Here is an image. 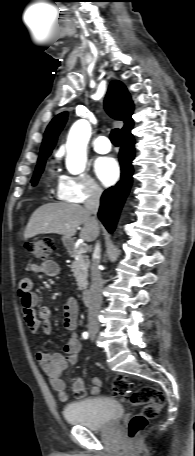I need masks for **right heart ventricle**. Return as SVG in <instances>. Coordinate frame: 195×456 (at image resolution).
<instances>
[{
  "label": "right heart ventricle",
  "instance_id": "obj_1",
  "mask_svg": "<svg viewBox=\"0 0 195 456\" xmlns=\"http://www.w3.org/2000/svg\"><path fill=\"white\" fill-rule=\"evenodd\" d=\"M53 176H54V170L51 169V170H50V173H49V177H50V178H53ZM59 181H60V179H59Z\"/></svg>",
  "mask_w": 195,
  "mask_h": 456
}]
</instances>
